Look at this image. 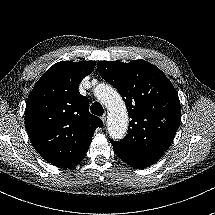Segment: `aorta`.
Wrapping results in <instances>:
<instances>
[{
    "mask_svg": "<svg viewBox=\"0 0 215 215\" xmlns=\"http://www.w3.org/2000/svg\"><path fill=\"white\" fill-rule=\"evenodd\" d=\"M97 90V97L105 104L110 114V134L116 138L123 137L128 128V113L122 97L106 84L99 85Z\"/></svg>",
    "mask_w": 215,
    "mask_h": 215,
    "instance_id": "1",
    "label": "aorta"
}]
</instances>
